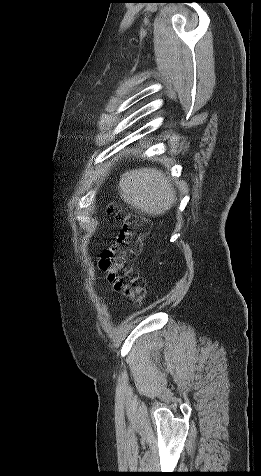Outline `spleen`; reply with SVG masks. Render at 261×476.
Segmentation results:
<instances>
[{"instance_id": "1", "label": "spleen", "mask_w": 261, "mask_h": 476, "mask_svg": "<svg viewBox=\"0 0 261 476\" xmlns=\"http://www.w3.org/2000/svg\"><path fill=\"white\" fill-rule=\"evenodd\" d=\"M119 193L125 203L151 216L164 215L176 202V193L170 181L155 168H139L123 173Z\"/></svg>"}]
</instances>
